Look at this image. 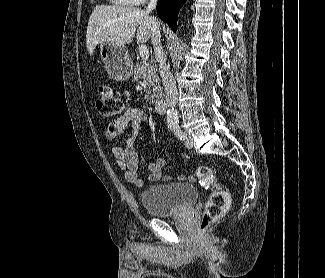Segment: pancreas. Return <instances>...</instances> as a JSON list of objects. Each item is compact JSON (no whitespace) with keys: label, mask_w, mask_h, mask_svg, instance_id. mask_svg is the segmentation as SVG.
I'll use <instances>...</instances> for the list:
<instances>
[{"label":"pancreas","mask_w":325,"mask_h":278,"mask_svg":"<svg viewBox=\"0 0 325 278\" xmlns=\"http://www.w3.org/2000/svg\"><path fill=\"white\" fill-rule=\"evenodd\" d=\"M134 79L143 81L146 101L152 104L155 103L156 99L162 94L156 67L146 61L136 63Z\"/></svg>","instance_id":"1"}]
</instances>
